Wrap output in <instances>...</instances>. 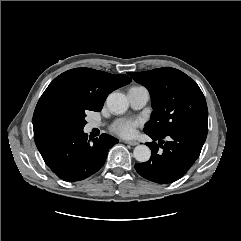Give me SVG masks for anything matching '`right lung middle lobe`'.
Here are the masks:
<instances>
[{
	"mask_svg": "<svg viewBox=\"0 0 241 241\" xmlns=\"http://www.w3.org/2000/svg\"><path fill=\"white\" fill-rule=\"evenodd\" d=\"M85 112H71L62 109H56L47 113L40 122V132L76 128L83 129L86 124Z\"/></svg>",
	"mask_w": 241,
	"mask_h": 241,
	"instance_id": "right-lung-middle-lobe-1",
	"label": "right lung middle lobe"
}]
</instances>
